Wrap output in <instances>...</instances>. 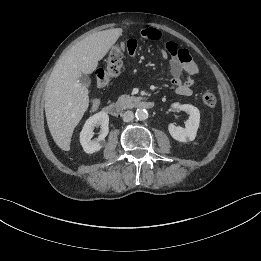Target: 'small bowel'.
<instances>
[{"instance_id":"1","label":"small bowel","mask_w":261,"mask_h":261,"mask_svg":"<svg viewBox=\"0 0 261 261\" xmlns=\"http://www.w3.org/2000/svg\"><path fill=\"white\" fill-rule=\"evenodd\" d=\"M140 36L144 40L156 41L161 38V32L155 28H144L140 31ZM137 42L134 39H129L121 43V47L128 54L135 53ZM163 58L170 60V75L167 80L174 87L175 92L182 96H190L194 91L195 76L198 74V66L193 61L190 53L183 48H180L175 42L167 41L164 48L160 50ZM182 73L188 75L187 80H182ZM100 99L96 98L92 101V109L96 110L100 106Z\"/></svg>"}]
</instances>
